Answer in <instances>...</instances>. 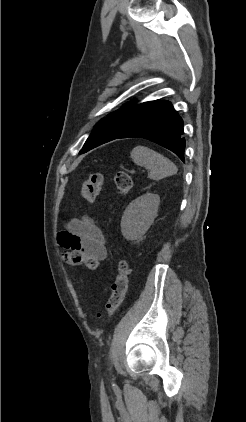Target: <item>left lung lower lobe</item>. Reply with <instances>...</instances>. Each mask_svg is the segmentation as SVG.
Here are the masks:
<instances>
[{"mask_svg": "<svg viewBox=\"0 0 246 422\" xmlns=\"http://www.w3.org/2000/svg\"><path fill=\"white\" fill-rule=\"evenodd\" d=\"M183 134L182 118L169 101L160 100L116 139L138 137L150 140L169 149L184 162Z\"/></svg>", "mask_w": 246, "mask_h": 422, "instance_id": "0a47b994", "label": "left lung lower lobe"}]
</instances>
